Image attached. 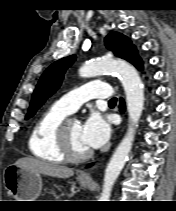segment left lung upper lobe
Returning <instances> with one entry per match:
<instances>
[{"mask_svg": "<svg viewBox=\"0 0 176 211\" xmlns=\"http://www.w3.org/2000/svg\"><path fill=\"white\" fill-rule=\"evenodd\" d=\"M105 43L106 47L113 50L116 56L129 61L139 70L142 69V61L138 56L136 47L128 37L121 33L113 32L106 36ZM75 59V55L62 58L46 69L32 95L26 119L32 117L46 99L56 92L61 85L65 71Z\"/></svg>", "mask_w": 176, "mask_h": 211, "instance_id": "1", "label": "left lung upper lobe"}]
</instances>
